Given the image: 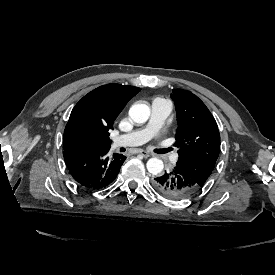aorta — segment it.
<instances>
[{"instance_id":"762f6f07","label":"aorta","mask_w":275,"mask_h":275,"mask_svg":"<svg viewBox=\"0 0 275 275\" xmlns=\"http://www.w3.org/2000/svg\"><path fill=\"white\" fill-rule=\"evenodd\" d=\"M128 115L135 123H145L149 119L150 109L144 103H135L130 107ZM146 166L148 172L153 175L161 173L164 168L163 161L158 158L149 159Z\"/></svg>"}]
</instances>
